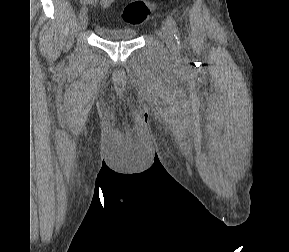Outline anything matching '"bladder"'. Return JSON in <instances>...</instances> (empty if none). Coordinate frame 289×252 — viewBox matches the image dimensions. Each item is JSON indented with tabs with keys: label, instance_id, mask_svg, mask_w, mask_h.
I'll return each mask as SVG.
<instances>
[{
	"label": "bladder",
	"instance_id": "obj_1",
	"mask_svg": "<svg viewBox=\"0 0 289 252\" xmlns=\"http://www.w3.org/2000/svg\"><path fill=\"white\" fill-rule=\"evenodd\" d=\"M95 32L98 37L107 41H129L137 37V31L129 28L98 26Z\"/></svg>",
	"mask_w": 289,
	"mask_h": 252
}]
</instances>
